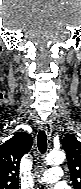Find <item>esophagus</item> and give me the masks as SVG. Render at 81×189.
<instances>
[{
    "label": "esophagus",
    "instance_id": "34e87169",
    "mask_svg": "<svg viewBox=\"0 0 81 189\" xmlns=\"http://www.w3.org/2000/svg\"><path fill=\"white\" fill-rule=\"evenodd\" d=\"M40 128L45 131L46 135L48 136V138H50L51 133H52V125L48 122H43L41 123Z\"/></svg>",
    "mask_w": 81,
    "mask_h": 189
}]
</instances>
